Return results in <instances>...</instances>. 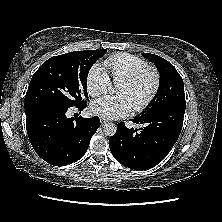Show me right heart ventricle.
I'll list each match as a JSON object with an SVG mask.
<instances>
[{
	"label": "right heart ventricle",
	"mask_w": 222,
	"mask_h": 222,
	"mask_svg": "<svg viewBox=\"0 0 222 222\" xmlns=\"http://www.w3.org/2000/svg\"><path fill=\"white\" fill-rule=\"evenodd\" d=\"M104 66L112 80L119 84L134 72L146 66V62L135 55L118 53L107 58L104 61Z\"/></svg>",
	"instance_id": "e07e8e85"
}]
</instances>
